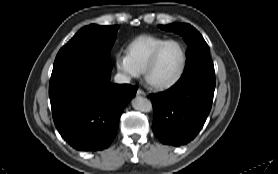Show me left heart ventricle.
<instances>
[{"mask_svg":"<svg viewBox=\"0 0 278 174\" xmlns=\"http://www.w3.org/2000/svg\"><path fill=\"white\" fill-rule=\"evenodd\" d=\"M182 62L181 47L176 43L167 44L159 53L150 73L153 81H167L179 70Z\"/></svg>","mask_w":278,"mask_h":174,"instance_id":"b2bd125f","label":"left heart ventricle"}]
</instances>
